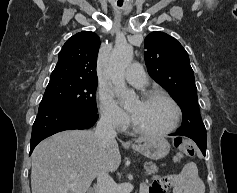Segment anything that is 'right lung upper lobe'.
<instances>
[{
    "label": "right lung upper lobe",
    "mask_w": 237,
    "mask_h": 193,
    "mask_svg": "<svg viewBox=\"0 0 237 193\" xmlns=\"http://www.w3.org/2000/svg\"><path fill=\"white\" fill-rule=\"evenodd\" d=\"M100 38L91 31L75 34L63 45L51 75L97 80L96 61Z\"/></svg>",
    "instance_id": "1"
}]
</instances>
